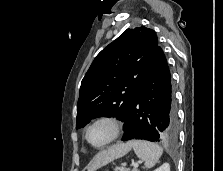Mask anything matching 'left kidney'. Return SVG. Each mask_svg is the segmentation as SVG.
<instances>
[{
	"instance_id": "obj_1",
	"label": "left kidney",
	"mask_w": 223,
	"mask_h": 171,
	"mask_svg": "<svg viewBox=\"0 0 223 171\" xmlns=\"http://www.w3.org/2000/svg\"><path fill=\"white\" fill-rule=\"evenodd\" d=\"M154 171H170V165L168 163H165Z\"/></svg>"
}]
</instances>
